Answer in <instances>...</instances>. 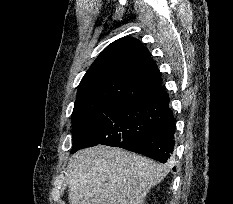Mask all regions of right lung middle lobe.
Instances as JSON below:
<instances>
[{
	"label": "right lung middle lobe",
	"mask_w": 233,
	"mask_h": 204,
	"mask_svg": "<svg viewBox=\"0 0 233 204\" xmlns=\"http://www.w3.org/2000/svg\"><path fill=\"white\" fill-rule=\"evenodd\" d=\"M73 122V148L80 145L116 146L160 129L164 118L152 99H131L107 105Z\"/></svg>",
	"instance_id": "dd1d6c3e"
}]
</instances>
